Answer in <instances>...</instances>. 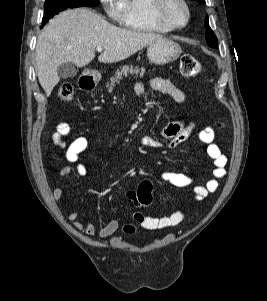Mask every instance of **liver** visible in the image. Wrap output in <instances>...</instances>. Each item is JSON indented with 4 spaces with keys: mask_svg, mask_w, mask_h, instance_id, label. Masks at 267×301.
I'll use <instances>...</instances> for the list:
<instances>
[{
    "mask_svg": "<svg viewBox=\"0 0 267 301\" xmlns=\"http://www.w3.org/2000/svg\"><path fill=\"white\" fill-rule=\"evenodd\" d=\"M162 36L118 28L86 8L61 12L51 19L39 35L36 45L37 76L47 96L60 78L59 65L71 62L81 68L95 58V49L102 46L98 56L101 63L127 59Z\"/></svg>",
    "mask_w": 267,
    "mask_h": 301,
    "instance_id": "liver-1",
    "label": "liver"
}]
</instances>
